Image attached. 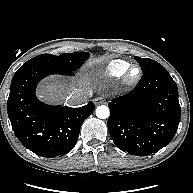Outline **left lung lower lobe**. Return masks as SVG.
<instances>
[{
    "label": "left lung lower lobe",
    "mask_w": 193,
    "mask_h": 193,
    "mask_svg": "<svg viewBox=\"0 0 193 193\" xmlns=\"http://www.w3.org/2000/svg\"><path fill=\"white\" fill-rule=\"evenodd\" d=\"M107 122L113 142L122 151L147 156L174 137L181 116L175 81L160 64L143 73L136 87L113 99Z\"/></svg>",
    "instance_id": "left-lung-lower-lobe-1"
}]
</instances>
